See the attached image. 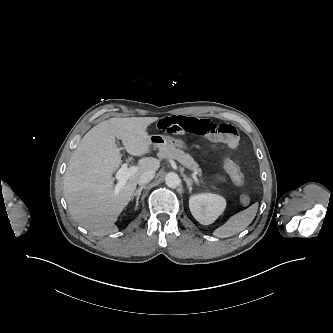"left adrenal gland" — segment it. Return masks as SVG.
Segmentation results:
<instances>
[{"mask_svg":"<svg viewBox=\"0 0 333 333\" xmlns=\"http://www.w3.org/2000/svg\"><path fill=\"white\" fill-rule=\"evenodd\" d=\"M184 180H185V182H186V184H187V187H188V189H189V193H191V191H192V184H193V183H195V184H199L198 182L193 181L191 178H189V177H187V176L184 177Z\"/></svg>","mask_w":333,"mask_h":333,"instance_id":"1","label":"left adrenal gland"}]
</instances>
